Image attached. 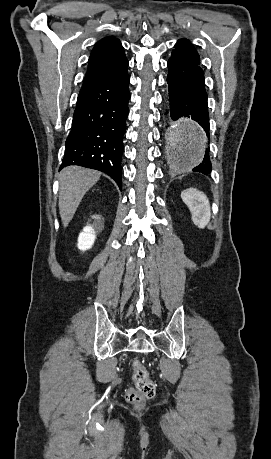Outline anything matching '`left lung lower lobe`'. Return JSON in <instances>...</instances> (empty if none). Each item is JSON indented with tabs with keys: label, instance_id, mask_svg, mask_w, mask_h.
I'll use <instances>...</instances> for the list:
<instances>
[{
	"label": "left lung lower lobe",
	"instance_id": "left-lung-lower-lobe-1",
	"mask_svg": "<svg viewBox=\"0 0 271 459\" xmlns=\"http://www.w3.org/2000/svg\"><path fill=\"white\" fill-rule=\"evenodd\" d=\"M170 114L173 120L181 116H191L205 130L209 138V115L207 93L205 91L204 72L200 65L182 60L169 59L168 61ZM209 148L202 163L193 171L209 174L211 162L208 156Z\"/></svg>",
	"mask_w": 271,
	"mask_h": 459
}]
</instances>
